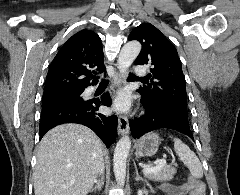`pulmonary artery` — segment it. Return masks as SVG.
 Segmentation results:
<instances>
[{
	"instance_id": "e3ab8cb5",
	"label": "pulmonary artery",
	"mask_w": 240,
	"mask_h": 195,
	"mask_svg": "<svg viewBox=\"0 0 240 195\" xmlns=\"http://www.w3.org/2000/svg\"><path fill=\"white\" fill-rule=\"evenodd\" d=\"M144 69H145V66H144V65H140V66H137L135 72H136V74H138L139 76H144V75H145ZM95 89H96L95 86H90V87H88V89H87V93L90 94V93L94 92Z\"/></svg>"
}]
</instances>
